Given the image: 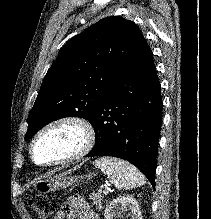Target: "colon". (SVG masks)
<instances>
[{
	"mask_svg": "<svg viewBox=\"0 0 211 219\" xmlns=\"http://www.w3.org/2000/svg\"><path fill=\"white\" fill-rule=\"evenodd\" d=\"M29 206L39 219H49L57 209V202L53 198L33 196Z\"/></svg>",
	"mask_w": 211,
	"mask_h": 219,
	"instance_id": "1",
	"label": "colon"
}]
</instances>
